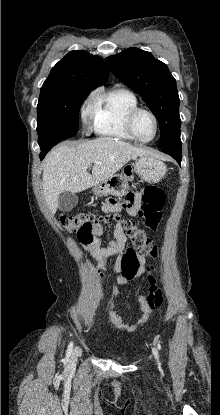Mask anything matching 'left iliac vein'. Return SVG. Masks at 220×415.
<instances>
[{"instance_id": "obj_1", "label": "left iliac vein", "mask_w": 220, "mask_h": 415, "mask_svg": "<svg viewBox=\"0 0 220 415\" xmlns=\"http://www.w3.org/2000/svg\"><path fill=\"white\" fill-rule=\"evenodd\" d=\"M152 353H153L154 358L158 361L159 356H158V350H157V348H156V347H154V348L152 349Z\"/></svg>"}]
</instances>
